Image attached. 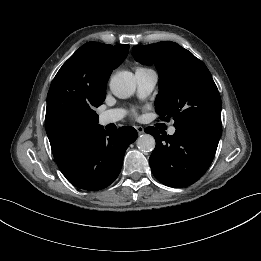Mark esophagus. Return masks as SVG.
<instances>
[{
    "mask_svg": "<svg viewBox=\"0 0 261 261\" xmlns=\"http://www.w3.org/2000/svg\"><path fill=\"white\" fill-rule=\"evenodd\" d=\"M136 130L138 132L139 135L143 134L144 133V128L142 126H137L136 127Z\"/></svg>",
    "mask_w": 261,
    "mask_h": 261,
    "instance_id": "1",
    "label": "esophagus"
}]
</instances>
